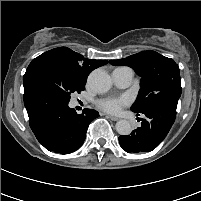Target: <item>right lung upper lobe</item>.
<instances>
[{
    "instance_id": "cb5924a9",
    "label": "right lung upper lobe",
    "mask_w": 201,
    "mask_h": 201,
    "mask_svg": "<svg viewBox=\"0 0 201 201\" xmlns=\"http://www.w3.org/2000/svg\"><path fill=\"white\" fill-rule=\"evenodd\" d=\"M46 60L58 61L71 76L84 83H86L87 76L92 70L108 63V61L105 60L87 59L67 47H59L49 50L33 59L23 79L32 67Z\"/></svg>"
}]
</instances>
